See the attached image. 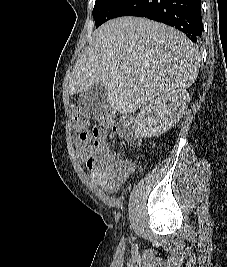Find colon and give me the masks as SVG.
Here are the masks:
<instances>
[{"instance_id":"obj_1","label":"colon","mask_w":227,"mask_h":267,"mask_svg":"<svg viewBox=\"0 0 227 267\" xmlns=\"http://www.w3.org/2000/svg\"><path fill=\"white\" fill-rule=\"evenodd\" d=\"M97 119L99 123L105 128L115 127V114L110 108H103L97 112ZM71 118L73 125L78 130H88L89 115L79 107H73L71 110ZM121 134L125 137L132 138L133 133L125 122L120 125Z\"/></svg>"}]
</instances>
